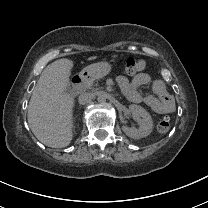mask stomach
<instances>
[{
	"mask_svg": "<svg viewBox=\"0 0 208 208\" xmlns=\"http://www.w3.org/2000/svg\"><path fill=\"white\" fill-rule=\"evenodd\" d=\"M111 71L108 62H98L86 66L80 73L84 81H91L106 76Z\"/></svg>",
	"mask_w": 208,
	"mask_h": 208,
	"instance_id": "0dacf381",
	"label": "stomach"
}]
</instances>
